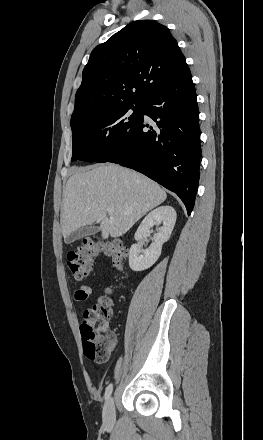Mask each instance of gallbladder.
Listing matches in <instances>:
<instances>
[{
    "instance_id": "gallbladder-1",
    "label": "gallbladder",
    "mask_w": 263,
    "mask_h": 440,
    "mask_svg": "<svg viewBox=\"0 0 263 440\" xmlns=\"http://www.w3.org/2000/svg\"><path fill=\"white\" fill-rule=\"evenodd\" d=\"M99 231V227L97 226H89V227H82L80 229H77L75 231H73L72 233H70L66 238H65V243L67 244H71L74 241L87 236V235H94Z\"/></svg>"
}]
</instances>
